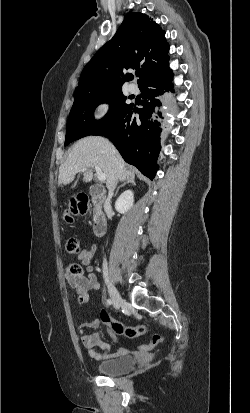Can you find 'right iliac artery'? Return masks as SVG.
Masks as SVG:
<instances>
[{
    "instance_id": "obj_1",
    "label": "right iliac artery",
    "mask_w": 250,
    "mask_h": 413,
    "mask_svg": "<svg viewBox=\"0 0 250 413\" xmlns=\"http://www.w3.org/2000/svg\"><path fill=\"white\" fill-rule=\"evenodd\" d=\"M106 304H107L108 306H110V305L112 304V300H111V299H107Z\"/></svg>"
}]
</instances>
